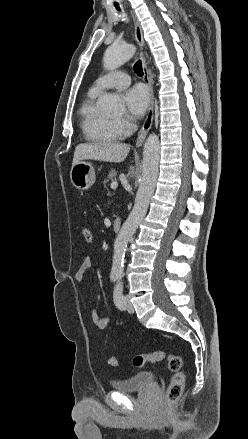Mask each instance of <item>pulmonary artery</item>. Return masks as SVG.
<instances>
[{
    "label": "pulmonary artery",
    "mask_w": 248,
    "mask_h": 439,
    "mask_svg": "<svg viewBox=\"0 0 248 439\" xmlns=\"http://www.w3.org/2000/svg\"><path fill=\"white\" fill-rule=\"evenodd\" d=\"M130 84V77L124 72H111L99 77L93 84L91 91L101 93L108 89H122Z\"/></svg>",
    "instance_id": "pulmonary-artery-1"
}]
</instances>
